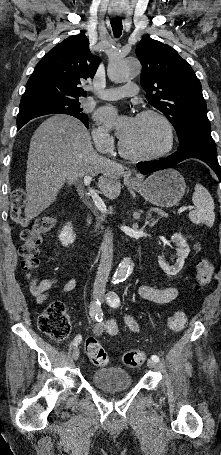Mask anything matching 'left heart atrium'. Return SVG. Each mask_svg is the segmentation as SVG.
Segmentation results:
<instances>
[{
    "label": "left heart atrium",
    "mask_w": 221,
    "mask_h": 455,
    "mask_svg": "<svg viewBox=\"0 0 221 455\" xmlns=\"http://www.w3.org/2000/svg\"><path fill=\"white\" fill-rule=\"evenodd\" d=\"M97 117L102 123L115 129L116 134L121 139L129 136L136 120V118L132 116L118 113L117 110L112 107L100 109L97 113Z\"/></svg>",
    "instance_id": "1"
}]
</instances>
